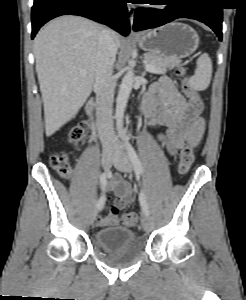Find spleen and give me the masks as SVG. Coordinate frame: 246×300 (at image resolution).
I'll return each instance as SVG.
<instances>
[{"label": "spleen", "mask_w": 246, "mask_h": 300, "mask_svg": "<svg viewBox=\"0 0 246 300\" xmlns=\"http://www.w3.org/2000/svg\"><path fill=\"white\" fill-rule=\"evenodd\" d=\"M195 74L189 79L190 86L197 91H204L210 85L212 62L207 53H203L196 61Z\"/></svg>", "instance_id": "spleen-1"}]
</instances>
